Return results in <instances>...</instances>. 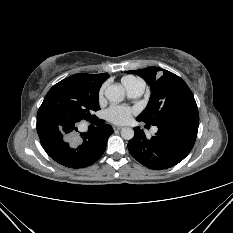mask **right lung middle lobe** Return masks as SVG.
Masks as SVG:
<instances>
[{"instance_id": "dd1d6c3e", "label": "right lung middle lobe", "mask_w": 233, "mask_h": 233, "mask_svg": "<svg viewBox=\"0 0 233 233\" xmlns=\"http://www.w3.org/2000/svg\"><path fill=\"white\" fill-rule=\"evenodd\" d=\"M100 86L75 74L54 85L45 96L37 113V120L52 119L62 125L76 124L91 118L100 109Z\"/></svg>"}]
</instances>
